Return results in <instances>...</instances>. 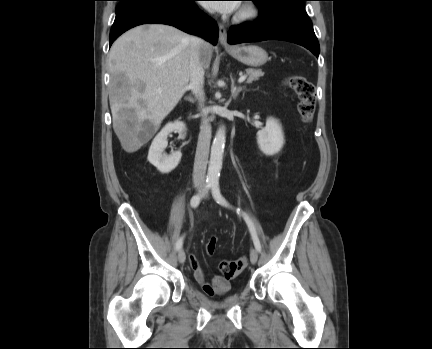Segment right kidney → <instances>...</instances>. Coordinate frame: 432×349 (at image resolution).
<instances>
[{
    "mask_svg": "<svg viewBox=\"0 0 432 349\" xmlns=\"http://www.w3.org/2000/svg\"><path fill=\"white\" fill-rule=\"evenodd\" d=\"M173 131L180 132V138L184 139L186 135V126L180 121L168 123L154 138L149 148L148 161L161 173L171 172L178 166L181 160L182 154L180 151L173 152L171 155L164 153V150L168 145L167 137Z\"/></svg>",
    "mask_w": 432,
    "mask_h": 349,
    "instance_id": "right-kidney-1",
    "label": "right kidney"
}]
</instances>
